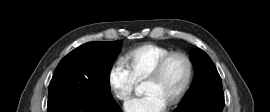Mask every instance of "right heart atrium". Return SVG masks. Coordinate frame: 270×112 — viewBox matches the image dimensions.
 <instances>
[{
  "instance_id": "right-heart-atrium-1",
  "label": "right heart atrium",
  "mask_w": 270,
  "mask_h": 112,
  "mask_svg": "<svg viewBox=\"0 0 270 112\" xmlns=\"http://www.w3.org/2000/svg\"><path fill=\"white\" fill-rule=\"evenodd\" d=\"M107 83L114 97L119 101H127L137 84L127 66L120 61L114 62L107 73Z\"/></svg>"
}]
</instances>
